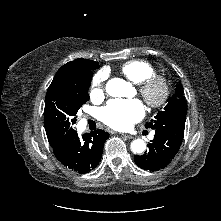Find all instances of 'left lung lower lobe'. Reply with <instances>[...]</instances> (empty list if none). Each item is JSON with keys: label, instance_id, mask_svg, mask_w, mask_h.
I'll return each instance as SVG.
<instances>
[{"label": "left lung lower lobe", "instance_id": "0a47b994", "mask_svg": "<svg viewBox=\"0 0 221 221\" xmlns=\"http://www.w3.org/2000/svg\"><path fill=\"white\" fill-rule=\"evenodd\" d=\"M182 140L176 135L155 131L154 139L149 143V150L143 155H136V165L144 170L158 171L166 167L177 154Z\"/></svg>", "mask_w": 221, "mask_h": 221}]
</instances>
